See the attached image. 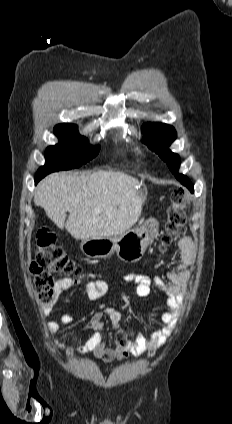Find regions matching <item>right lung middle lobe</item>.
<instances>
[{"mask_svg": "<svg viewBox=\"0 0 232 424\" xmlns=\"http://www.w3.org/2000/svg\"><path fill=\"white\" fill-rule=\"evenodd\" d=\"M54 134L59 143L46 149V164L39 168L35 178H43L54 171L79 167L99 153L98 146L89 148L87 138L79 135L76 125L59 124L54 127Z\"/></svg>", "mask_w": 232, "mask_h": 424, "instance_id": "obj_1", "label": "right lung middle lobe"}]
</instances>
